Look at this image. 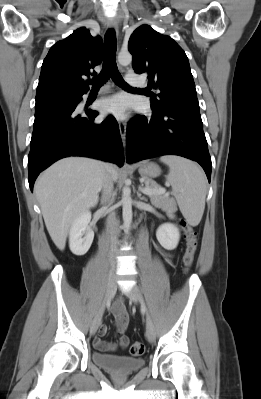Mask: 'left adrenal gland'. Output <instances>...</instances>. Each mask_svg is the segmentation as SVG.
Masks as SVG:
<instances>
[{"instance_id": "1", "label": "left adrenal gland", "mask_w": 261, "mask_h": 399, "mask_svg": "<svg viewBox=\"0 0 261 399\" xmlns=\"http://www.w3.org/2000/svg\"><path fill=\"white\" fill-rule=\"evenodd\" d=\"M138 197H139L141 200L147 201V198L141 197V193H140V192H138Z\"/></svg>"}]
</instances>
